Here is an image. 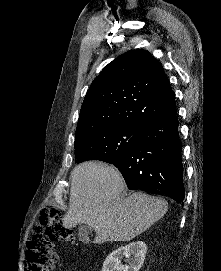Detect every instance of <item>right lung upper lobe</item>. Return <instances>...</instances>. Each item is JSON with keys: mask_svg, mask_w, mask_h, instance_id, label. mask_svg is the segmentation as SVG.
<instances>
[{"mask_svg": "<svg viewBox=\"0 0 221 271\" xmlns=\"http://www.w3.org/2000/svg\"><path fill=\"white\" fill-rule=\"evenodd\" d=\"M176 112L162 64L148 51L131 50L109 63L84 98L75 138L100 129L149 123Z\"/></svg>", "mask_w": 221, "mask_h": 271, "instance_id": "1", "label": "right lung upper lobe"}]
</instances>
